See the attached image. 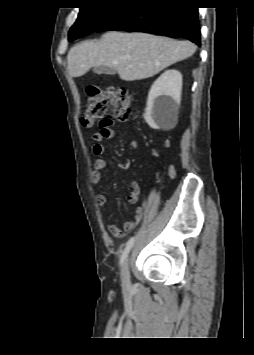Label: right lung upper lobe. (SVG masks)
<instances>
[{"instance_id":"right-lung-upper-lobe-1","label":"right lung upper lobe","mask_w":254,"mask_h":355,"mask_svg":"<svg viewBox=\"0 0 254 355\" xmlns=\"http://www.w3.org/2000/svg\"><path fill=\"white\" fill-rule=\"evenodd\" d=\"M92 1H96V0H88V3L92 2ZM115 1H118V2H121V3H126V2H129L131 0H115Z\"/></svg>"}]
</instances>
